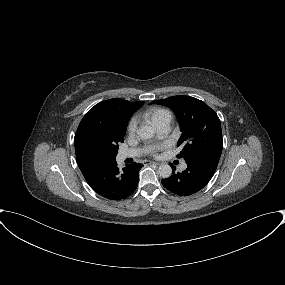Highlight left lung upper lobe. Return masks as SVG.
I'll return each instance as SVG.
<instances>
[{
  "instance_id": "5c2ea615",
  "label": "left lung upper lobe",
  "mask_w": 285,
  "mask_h": 285,
  "mask_svg": "<svg viewBox=\"0 0 285 285\" xmlns=\"http://www.w3.org/2000/svg\"><path fill=\"white\" fill-rule=\"evenodd\" d=\"M152 103L167 106L176 114L182 132L177 145L183 147L178 157L188 160L202 154L221 155L220 120L203 101L189 96H172Z\"/></svg>"
}]
</instances>
